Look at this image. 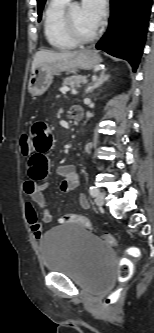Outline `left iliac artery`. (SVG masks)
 I'll return each instance as SVG.
<instances>
[{
    "mask_svg": "<svg viewBox=\"0 0 154 333\" xmlns=\"http://www.w3.org/2000/svg\"><path fill=\"white\" fill-rule=\"evenodd\" d=\"M99 190L95 186L89 187V193L91 196H96L98 194Z\"/></svg>",
    "mask_w": 154,
    "mask_h": 333,
    "instance_id": "44dca946",
    "label": "left iliac artery"
}]
</instances>
